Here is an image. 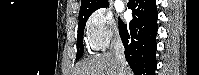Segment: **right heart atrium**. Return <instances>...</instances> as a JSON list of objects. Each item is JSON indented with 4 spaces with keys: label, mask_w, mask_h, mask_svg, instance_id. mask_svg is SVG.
Returning <instances> with one entry per match:
<instances>
[{
    "label": "right heart atrium",
    "mask_w": 199,
    "mask_h": 75,
    "mask_svg": "<svg viewBox=\"0 0 199 75\" xmlns=\"http://www.w3.org/2000/svg\"><path fill=\"white\" fill-rule=\"evenodd\" d=\"M85 31L90 46L95 50L105 49L119 35L113 14L104 8L94 11L89 16Z\"/></svg>",
    "instance_id": "obj_1"
}]
</instances>
